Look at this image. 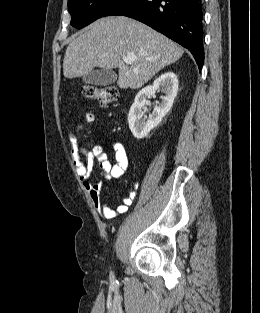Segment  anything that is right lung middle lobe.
Segmentation results:
<instances>
[{
  "label": "right lung middle lobe",
  "instance_id": "right-lung-middle-lobe-1",
  "mask_svg": "<svg viewBox=\"0 0 260 313\" xmlns=\"http://www.w3.org/2000/svg\"><path fill=\"white\" fill-rule=\"evenodd\" d=\"M120 0H69L71 25L83 28L104 14Z\"/></svg>",
  "mask_w": 260,
  "mask_h": 313
}]
</instances>
